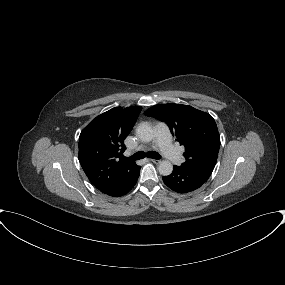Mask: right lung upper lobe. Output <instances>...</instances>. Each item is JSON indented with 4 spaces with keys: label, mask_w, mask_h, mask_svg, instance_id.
<instances>
[{
    "label": "right lung upper lobe",
    "mask_w": 285,
    "mask_h": 285,
    "mask_svg": "<svg viewBox=\"0 0 285 285\" xmlns=\"http://www.w3.org/2000/svg\"><path fill=\"white\" fill-rule=\"evenodd\" d=\"M142 107H115L97 116L79 136V161L99 190L113 187L137 169L135 162L118 159L125 151L124 139L132 130Z\"/></svg>",
    "instance_id": "cb5924a9"
}]
</instances>
